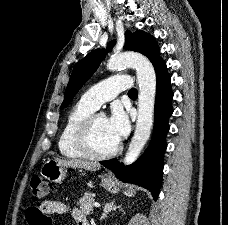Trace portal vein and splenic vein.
<instances>
[{
  "instance_id": "portal-vein-and-splenic-vein-1",
  "label": "portal vein and splenic vein",
  "mask_w": 228,
  "mask_h": 225,
  "mask_svg": "<svg viewBox=\"0 0 228 225\" xmlns=\"http://www.w3.org/2000/svg\"><path fill=\"white\" fill-rule=\"evenodd\" d=\"M95 207H100L99 203H94Z\"/></svg>"
}]
</instances>
